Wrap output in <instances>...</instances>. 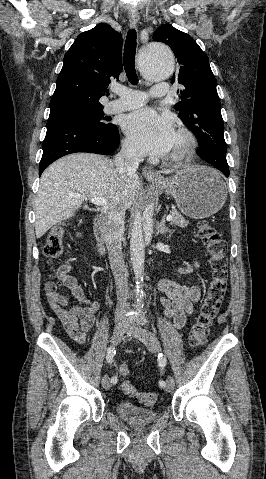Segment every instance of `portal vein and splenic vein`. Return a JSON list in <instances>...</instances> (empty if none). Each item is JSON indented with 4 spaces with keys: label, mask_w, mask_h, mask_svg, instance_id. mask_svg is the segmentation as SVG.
Returning <instances> with one entry per match:
<instances>
[{
    "label": "portal vein and splenic vein",
    "mask_w": 266,
    "mask_h": 479,
    "mask_svg": "<svg viewBox=\"0 0 266 479\" xmlns=\"http://www.w3.org/2000/svg\"><path fill=\"white\" fill-rule=\"evenodd\" d=\"M74 197H80V195L72 194ZM91 203L96 205V206H105L107 205V199L104 197H92L90 199ZM173 219L172 215H167L166 220L171 221Z\"/></svg>",
    "instance_id": "obj_1"
}]
</instances>
